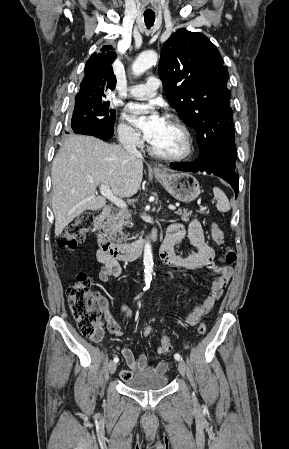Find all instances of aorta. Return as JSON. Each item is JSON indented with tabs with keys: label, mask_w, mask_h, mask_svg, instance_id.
<instances>
[{
	"label": "aorta",
	"mask_w": 289,
	"mask_h": 449,
	"mask_svg": "<svg viewBox=\"0 0 289 449\" xmlns=\"http://www.w3.org/2000/svg\"><path fill=\"white\" fill-rule=\"evenodd\" d=\"M158 61V55L155 51H145L139 55V57L134 61L132 65L133 74L136 76L141 75L146 70L155 65ZM144 279L146 286H150L152 280L153 272V254L151 244L149 242L145 243L144 254Z\"/></svg>",
	"instance_id": "obj_1"
}]
</instances>
